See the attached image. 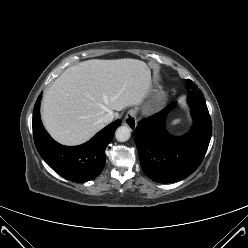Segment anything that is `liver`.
Instances as JSON below:
<instances>
[{
  "label": "liver",
  "mask_w": 248,
  "mask_h": 248,
  "mask_svg": "<svg viewBox=\"0 0 248 248\" xmlns=\"http://www.w3.org/2000/svg\"><path fill=\"white\" fill-rule=\"evenodd\" d=\"M150 85V70L141 60L81 62L66 69L45 92L44 126L62 144H82L104 128V115L140 104Z\"/></svg>",
  "instance_id": "1"
}]
</instances>
